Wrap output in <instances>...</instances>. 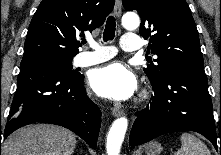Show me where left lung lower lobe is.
Masks as SVG:
<instances>
[{
    "instance_id": "0a47b994",
    "label": "left lung lower lobe",
    "mask_w": 221,
    "mask_h": 155,
    "mask_svg": "<svg viewBox=\"0 0 221 155\" xmlns=\"http://www.w3.org/2000/svg\"><path fill=\"white\" fill-rule=\"evenodd\" d=\"M151 84L154 96L145 109L136 113L129 138L131 146L169 132L195 131L209 139L217 149L212 102L204 67H178L169 71L161 81Z\"/></svg>"
}]
</instances>
